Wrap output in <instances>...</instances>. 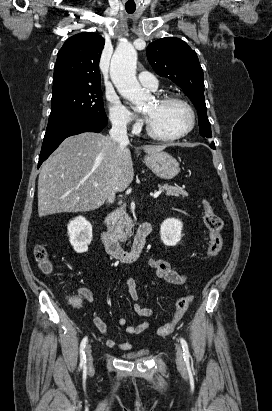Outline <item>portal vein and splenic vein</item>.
Returning <instances> with one entry per match:
<instances>
[{
	"instance_id": "portal-vein-and-splenic-vein-1",
	"label": "portal vein and splenic vein",
	"mask_w": 272,
	"mask_h": 411,
	"mask_svg": "<svg viewBox=\"0 0 272 411\" xmlns=\"http://www.w3.org/2000/svg\"><path fill=\"white\" fill-rule=\"evenodd\" d=\"M97 186V184H95ZM162 190H159L153 194V198H157L161 194Z\"/></svg>"
}]
</instances>
